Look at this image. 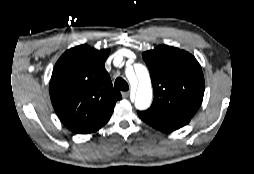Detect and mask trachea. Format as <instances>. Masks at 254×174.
Here are the masks:
<instances>
[{
    "label": "trachea",
    "mask_w": 254,
    "mask_h": 174,
    "mask_svg": "<svg viewBox=\"0 0 254 174\" xmlns=\"http://www.w3.org/2000/svg\"><path fill=\"white\" fill-rule=\"evenodd\" d=\"M114 86L118 90L127 91L129 89L128 83L121 77L115 80Z\"/></svg>",
    "instance_id": "obj_1"
}]
</instances>
